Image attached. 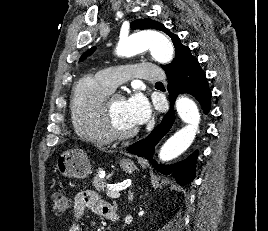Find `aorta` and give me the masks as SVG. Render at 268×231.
<instances>
[{"instance_id":"762f6f07","label":"aorta","mask_w":268,"mask_h":231,"mask_svg":"<svg viewBox=\"0 0 268 231\" xmlns=\"http://www.w3.org/2000/svg\"><path fill=\"white\" fill-rule=\"evenodd\" d=\"M149 49L152 57L163 64L173 59L174 47L172 42L158 32H139L120 39L116 54L121 57H131ZM179 117L187 124L173 134L161 147L159 158L161 161L172 160L185 152L195 139L200 113L195 102L187 97L176 100Z\"/></svg>"}]
</instances>
